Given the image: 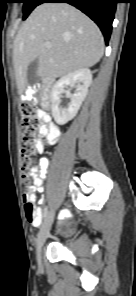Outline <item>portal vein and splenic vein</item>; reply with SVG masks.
Listing matches in <instances>:
<instances>
[{"instance_id": "18ae733b", "label": "portal vein and splenic vein", "mask_w": 136, "mask_h": 296, "mask_svg": "<svg viewBox=\"0 0 136 296\" xmlns=\"http://www.w3.org/2000/svg\"><path fill=\"white\" fill-rule=\"evenodd\" d=\"M44 46H45L46 48H50V47H51V44H50L49 42H46V43H44Z\"/></svg>"}]
</instances>
